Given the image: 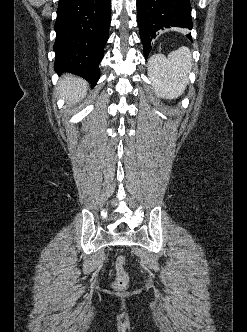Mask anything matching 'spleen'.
<instances>
[{
    "label": "spleen",
    "instance_id": "3e777b00",
    "mask_svg": "<svg viewBox=\"0 0 247 332\" xmlns=\"http://www.w3.org/2000/svg\"><path fill=\"white\" fill-rule=\"evenodd\" d=\"M192 69V55L188 47L172 51L166 57L154 55L148 64L149 77L157 96L175 99L181 96L189 82Z\"/></svg>",
    "mask_w": 247,
    "mask_h": 332
}]
</instances>
